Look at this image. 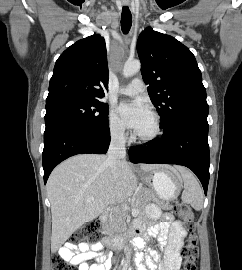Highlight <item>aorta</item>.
<instances>
[{"instance_id": "obj_1", "label": "aorta", "mask_w": 242, "mask_h": 270, "mask_svg": "<svg viewBox=\"0 0 242 270\" xmlns=\"http://www.w3.org/2000/svg\"><path fill=\"white\" fill-rule=\"evenodd\" d=\"M141 68L139 60L127 61L123 67V76L128 78L135 75Z\"/></svg>"}]
</instances>
